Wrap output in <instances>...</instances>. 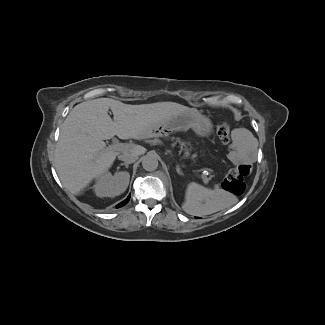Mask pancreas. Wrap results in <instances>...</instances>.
I'll use <instances>...</instances> for the list:
<instances>
[{
  "instance_id": "cf45deb5",
  "label": "pancreas",
  "mask_w": 325,
  "mask_h": 325,
  "mask_svg": "<svg viewBox=\"0 0 325 325\" xmlns=\"http://www.w3.org/2000/svg\"><path fill=\"white\" fill-rule=\"evenodd\" d=\"M166 142L168 145L175 147L176 149L180 150L187 158L192 161L198 159L199 154L198 152L189 145V143L185 140H182L176 136L170 135L167 137Z\"/></svg>"
}]
</instances>
